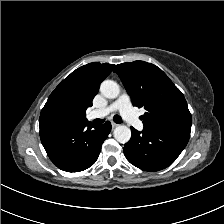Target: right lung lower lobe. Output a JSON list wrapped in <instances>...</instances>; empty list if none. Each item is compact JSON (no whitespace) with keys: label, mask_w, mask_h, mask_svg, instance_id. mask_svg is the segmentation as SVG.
Masks as SVG:
<instances>
[{"label":"right lung lower lobe","mask_w":224,"mask_h":224,"mask_svg":"<svg viewBox=\"0 0 224 224\" xmlns=\"http://www.w3.org/2000/svg\"><path fill=\"white\" fill-rule=\"evenodd\" d=\"M40 138L51 161L67 172L83 171L92 166L111 130L110 122L95 125L40 116Z\"/></svg>","instance_id":"98d812e1"}]
</instances>
